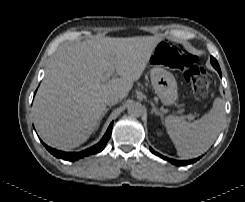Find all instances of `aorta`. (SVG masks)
<instances>
[{
  "instance_id": "aorta-1",
  "label": "aorta",
  "mask_w": 245,
  "mask_h": 202,
  "mask_svg": "<svg viewBox=\"0 0 245 202\" xmlns=\"http://www.w3.org/2000/svg\"><path fill=\"white\" fill-rule=\"evenodd\" d=\"M128 113L132 116L139 117L143 113V106L139 102H130L128 104Z\"/></svg>"
}]
</instances>
